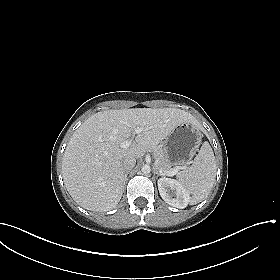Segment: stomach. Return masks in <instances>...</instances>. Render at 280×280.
<instances>
[{"label": "stomach", "mask_w": 280, "mask_h": 280, "mask_svg": "<svg viewBox=\"0 0 280 280\" xmlns=\"http://www.w3.org/2000/svg\"><path fill=\"white\" fill-rule=\"evenodd\" d=\"M202 140L199 128L189 122L178 125L163 142L166 158L172 165H183L196 154Z\"/></svg>", "instance_id": "stomach-1"}]
</instances>
